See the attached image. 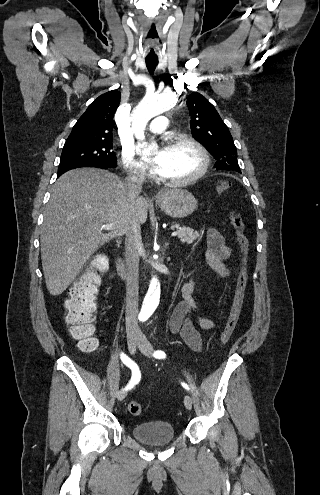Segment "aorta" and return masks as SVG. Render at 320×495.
Listing matches in <instances>:
<instances>
[{"label": "aorta", "instance_id": "obj_1", "mask_svg": "<svg viewBox=\"0 0 320 495\" xmlns=\"http://www.w3.org/2000/svg\"><path fill=\"white\" fill-rule=\"evenodd\" d=\"M177 103L178 99L175 94L169 91L159 96L147 95L133 109L132 130L139 148L146 150V153H150L158 148L157 144H147L144 134L146 125L153 117L175 107ZM160 291V283L156 277H153L143 302L142 310L145 316H151L157 308L160 300Z\"/></svg>", "mask_w": 320, "mask_h": 495}]
</instances>
